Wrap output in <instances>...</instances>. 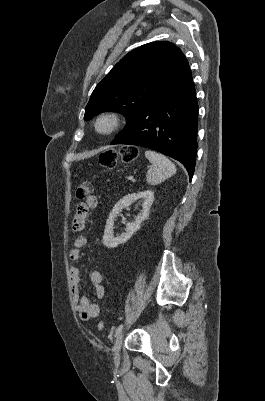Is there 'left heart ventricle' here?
Returning a JSON list of instances; mask_svg holds the SVG:
<instances>
[{"label": "left heart ventricle", "instance_id": "1", "mask_svg": "<svg viewBox=\"0 0 265 401\" xmlns=\"http://www.w3.org/2000/svg\"><path fill=\"white\" fill-rule=\"evenodd\" d=\"M105 127H106V125H105V124H103V125H102V128H105Z\"/></svg>", "mask_w": 265, "mask_h": 401}]
</instances>
